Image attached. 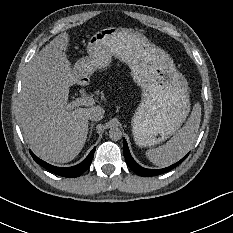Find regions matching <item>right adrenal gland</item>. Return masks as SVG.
Masks as SVG:
<instances>
[{
	"label": "right adrenal gland",
	"instance_id": "2a0ac1e0",
	"mask_svg": "<svg viewBox=\"0 0 233 233\" xmlns=\"http://www.w3.org/2000/svg\"><path fill=\"white\" fill-rule=\"evenodd\" d=\"M95 125V123H92L91 124V126H90V131H89V138H88V140L90 139V137H91V134H92V130H93V126Z\"/></svg>",
	"mask_w": 233,
	"mask_h": 233
}]
</instances>
